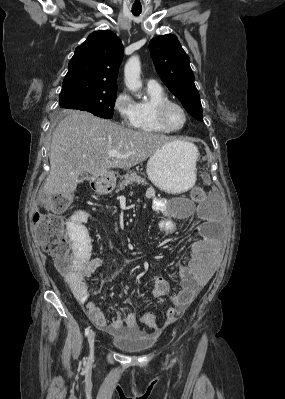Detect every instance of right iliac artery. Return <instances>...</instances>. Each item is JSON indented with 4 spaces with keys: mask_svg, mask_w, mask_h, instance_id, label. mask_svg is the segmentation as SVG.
Segmentation results:
<instances>
[{
    "mask_svg": "<svg viewBox=\"0 0 285 399\" xmlns=\"http://www.w3.org/2000/svg\"><path fill=\"white\" fill-rule=\"evenodd\" d=\"M89 330H90V326H88V327L85 329V336H88Z\"/></svg>",
    "mask_w": 285,
    "mask_h": 399,
    "instance_id": "obj_1",
    "label": "right iliac artery"
}]
</instances>
